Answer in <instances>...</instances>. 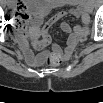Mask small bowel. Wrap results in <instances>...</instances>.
<instances>
[{
  "instance_id": "obj_1",
  "label": "small bowel",
  "mask_w": 103,
  "mask_h": 103,
  "mask_svg": "<svg viewBox=\"0 0 103 103\" xmlns=\"http://www.w3.org/2000/svg\"><path fill=\"white\" fill-rule=\"evenodd\" d=\"M16 12L13 13L11 26L14 31L15 40L22 51L25 61L30 66H38L47 60L53 62H63L71 58L77 46L82 43L87 35V26L89 23L87 3H69L71 8L68 11L60 10L56 12L43 25L44 19L55 9L65 5L62 1H34L26 0L17 3ZM28 14L30 25L17 26L16 21L22 20L24 15ZM72 15L79 19V23L71 26L67 22H62L61 30L67 34L65 46L52 44L50 50H45L51 43L50 30L59 20ZM30 39V44L27 40ZM33 50L39 51L35 53Z\"/></svg>"
}]
</instances>
